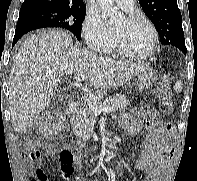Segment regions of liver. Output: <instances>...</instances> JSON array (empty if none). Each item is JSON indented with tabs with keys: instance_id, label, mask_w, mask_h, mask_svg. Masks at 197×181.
Wrapping results in <instances>:
<instances>
[{
	"instance_id": "liver-1",
	"label": "liver",
	"mask_w": 197,
	"mask_h": 181,
	"mask_svg": "<svg viewBox=\"0 0 197 181\" xmlns=\"http://www.w3.org/2000/svg\"><path fill=\"white\" fill-rule=\"evenodd\" d=\"M145 67L73 46L66 32L37 31L22 43L11 68L8 85L12 126L21 134L31 128L50 102L61 76L83 73L91 86L112 88L126 83Z\"/></svg>"
}]
</instances>
